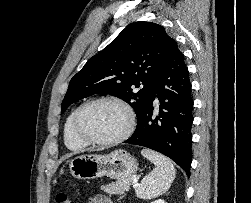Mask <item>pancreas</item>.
<instances>
[{
	"label": "pancreas",
	"instance_id": "1",
	"mask_svg": "<svg viewBox=\"0 0 251 203\" xmlns=\"http://www.w3.org/2000/svg\"><path fill=\"white\" fill-rule=\"evenodd\" d=\"M133 184V178L119 179L116 182H112L106 186H102L101 189L108 194H123L130 189Z\"/></svg>",
	"mask_w": 251,
	"mask_h": 203
}]
</instances>
